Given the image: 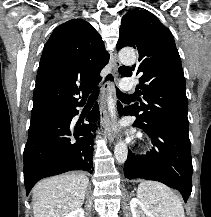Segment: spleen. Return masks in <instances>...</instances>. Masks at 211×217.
<instances>
[{
	"label": "spleen",
	"instance_id": "3e777b00",
	"mask_svg": "<svg viewBox=\"0 0 211 217\" xmlns=\"http://www.w3.org/2000/svg\"><path fill=\"white\" fill-rule=\"evenodd\" d=\"M137 196L154 217H185L180 198L160 182L142 181Z\"/></svg>",
	"mask_w": 211,
	"mask_h": 217
}]
</instances>
